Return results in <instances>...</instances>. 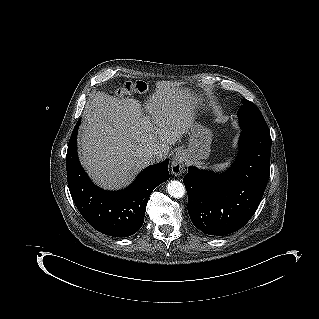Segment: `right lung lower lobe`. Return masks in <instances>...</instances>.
Wrapping results in <instances>:
<instances>
[{"mask_svg":"<svg viewBox=\"0 0 319 319\" xmlns=\"http://www.w3.org/2000/svg\"><path fill=\"white\" fill-rule=\"evenodd\" d=\"M79 125L80 121L74 127L66 156L67 180L77 209L103 234L113 237L135 234L143 224L150 194L169 179V160L147 167L125 190H102L93 184L79 162L76 140Z\"/></svg>","mask_w":319,"mask_h":319,"instance_id":"obj_1","label":"right lung lower lobe"}]
</instances>
